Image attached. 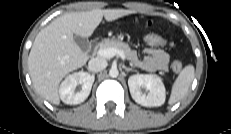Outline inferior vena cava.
Instances as JSON below:
<instances>
[{"label":"inferior vena cava","instance_id":"602c4592","mask_svg":"<svg viewBox=\"0 0 231 134\" xmlns=\"http://www.w3.org/2000/svg\"><path fill=\"white\" fill-rule=\"evenodd\" d=\"M107 67V61L103 58H92L88 63V70L91 72H99Z\"/></svg>","mask_w":231,"mask_h":134}]
</instances>
